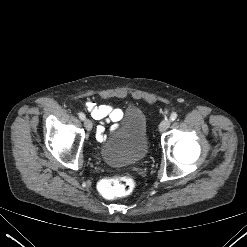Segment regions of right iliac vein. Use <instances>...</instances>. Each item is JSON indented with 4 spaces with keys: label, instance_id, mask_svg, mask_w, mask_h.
<instances>
[{
    "label": "right iliac vein",
    "instance_id": "right-iliac-vein-1",
    "mask_svg": "<svg viewBox=\"0 0 247 247\" xmlns=\"http://www.w3.org/2000/svg\"><path fill=\"white\" fill-rule=\"evenodd\" d=\"M84 126H85V128H86L88 131H90V130L92 129V126H93L91 120L85 119V120H84Z\"/></svg>",
    "mask_w": 247,
    "mask_h": 247
}]
</instances>
